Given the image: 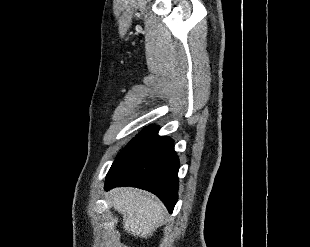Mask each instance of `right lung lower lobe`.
Wrapping results in <instances>:
<instances>
[{
    "instance_id": "right-lung-lower-lobe-1",
    "label": "right lung lower lobe",
    "mask_w": 310,
    "mask_h": 247,
    "mask_svg": "<svg viewBox=\"0 0 310 247\" xmlns=\"http://www.w3.org/2000/svg\"><path fill=\"white\" fill-rule=\"evenodd\" d=\"M158 127L140 132L118 155L105 182V190L133 186L158 196L170 213L178 198L179 159L173 141L158 135Z\"/></svg>"
}]
</instances>
